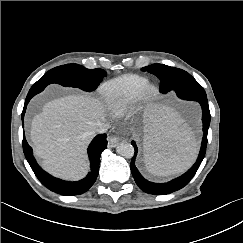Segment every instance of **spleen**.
<instances>
[{"label":"spleen","instance_id":"3e777b00","mask_svg":"<svg viewBox=\"0 0 243 243\" xmlns=\"http://www.w3.org/2000/svg\"><path fill=\"white\" fill-rule=\"evenodd\" d=\"M144 122V163L158 176L182 172L197 154L193 132L172 109L158 100H149L141 108Z\"/></svg>","mask_w":243,"mask_h":243}]
</instances>
